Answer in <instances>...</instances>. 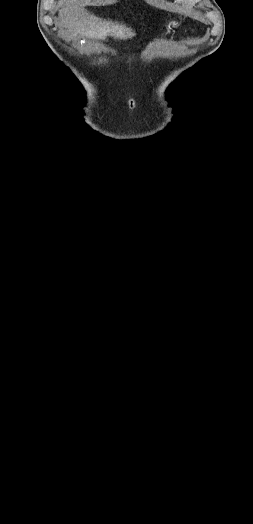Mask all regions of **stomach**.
Wrapping results in <instances>:
<instances>
[{
	"instance_id": "1",
	"label": "stomach",
	"mask_w": 253,
	"mask_h": 524,
	"mask_svg": "<svg viewBox=\"0 0 253 524\" xmlns=\"http://www.w3.org/2000/svg\"><path fill=\"white\" fill-rule=\"evenodd\" d=\"M176 23L173 21V22H170L168 25H167V29L170 30L171 29V26H175Z\"/></svg>"
}]
</instances>
